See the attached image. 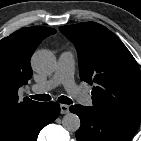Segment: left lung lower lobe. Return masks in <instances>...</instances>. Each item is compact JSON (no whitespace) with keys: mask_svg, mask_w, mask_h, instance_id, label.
<instances>
[{"mask_svg":"<svg viewBox=\"0 0 141 141\" xmlns=\"http://www.w3.org/2000/svg\"><path fill=\"white\" fill-rule=\"evenodd\" d=\"M70 111L79 116L81 126L77 141H130L139 124L105 113L95 107L72 105Z\"/></svg>","mask_w":141,"mask_h":141,"instance_id":"obj_1","label":"left lung lower lobe"}]
</instances>
